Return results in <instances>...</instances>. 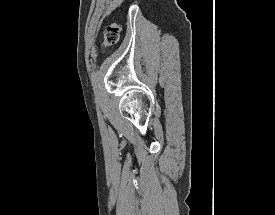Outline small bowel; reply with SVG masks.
<instances>
[{"mask_svg": "<svg viewBox=\"0 0 275 215\" xmlns=\"http://www.w3.org/2000/svg\"><path fill=\"white\" fill-rule=\"evenodd\" d=\"M124 0H113L108 6V9H113L114 7L119 6Z\"/></svg>", "mask_w": 275, "mask_h": 215, "instance_id": "small-bowel-1", "label": "small bowel"}]
</instances>
